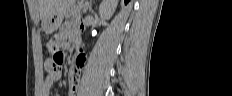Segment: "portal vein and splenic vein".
I'll return each instance as SVG.
<instances>
[{
	"mask_svg": "<svg viewBox=\"0 0 232 96\" xmlns=\"http://www.w3.org/2000/svg\"><path fill=\"white\" fill-rule=\"evenodd\" d=\"M86 8H87V7L85 6V7H84V11H86Z\"/></svg>",
	"mask_w": 232,
	"mask_h": 96,
	"instance_id": "18ae733b",
	"label": "portal vein and splenic vein"
}]
</instances>
